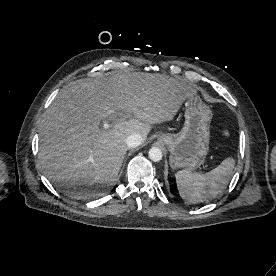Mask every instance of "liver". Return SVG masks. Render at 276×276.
Instances as JSON below:
<instances>
[{
	"label": "liver",
	"instance_id": "1",
	"mask_svg": "<svg viewBox=\"0 0 276 276\" xmlns=\"http://www.w3.org/2000/svg\"><path fill=\"white\" fill-rule=\"evenodd\" d=\"M194 95L185 82L143 72L71 83L55 97L39 128L44 174L73 198L102 195L117 179L128 136L140 134L143 142L151 124L172 120ZM102 120L111 121L108 129L100 128Z\"/></svg>",
	"mask_w": 276,
	"mask_h": 276
}]
</instances>
